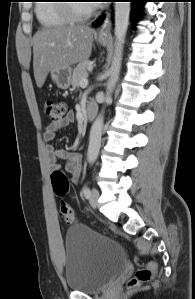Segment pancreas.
Returning <instances> with one entry per match:
<instances>
[{
  "label": "pancreas",
  "mask_w": 195,
  "mask_h": 299,
  "mask_svg": "<svg viewBox=\"0 0 195 299\" xmlns=\"http://www.w3.org/2000/svg\"><path fill=\"white\" fill-rule=\"evenodd\" d=\"M90 66V61L84 60L74 68L71 81V84L74 88L79 87L81 80L88 76V69Z\"/></svg>",
  "instance_id": "cf45deb5"
}]
</instances>
